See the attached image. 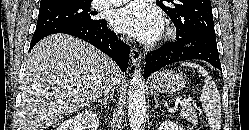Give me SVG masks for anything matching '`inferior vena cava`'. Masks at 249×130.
Wrapping results in <instances>:
<instances>
[{"mask_svg": "<svg viewBox=\"0 0 249 130\" xmlns=\"http://www.w3.org/2000/svg\"><path fill=\"white\" fill-rule=\"evenodd\" d=\"M116 66V65H115ZM118 68H115L114 74L111 76V78L108 80L107 84L104 87V93L105 95H112V91L115 89V86L117 84V78L115 76L116 71Z\"/></svg>", "mask_w": 249, "mask_h": 130, "instance_id": "inferior-vena-cava-1", "label": "inferior vena cava"}]
</instances>
